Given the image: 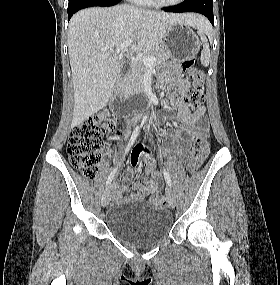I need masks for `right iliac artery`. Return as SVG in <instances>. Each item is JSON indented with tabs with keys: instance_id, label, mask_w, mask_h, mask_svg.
Here are the masks:
<instances>
[{
	"instance_id": "obj_1",
	"label": "right iliac artery",
	"mask_w": 280,
	"mask_h": 285,
	"mask_svg": "<svg viewBox=\"0 0 280 285\" xmlns=\"http://www.w3.org/2000/svg\"><path fill=\"white\" fill-rule=\"evenodd\" d=\"M138 133H139V126H137V127L134 129V131H133V133H132V135H131V137H130V139H129V143H128L126 149H125V154L128 153V151L130 150L131 146H132L133 143L135 142V140H136V138H137V136H138ZM125 154H124V156H123L122 159H124ZM122 159H121V160H122ZM119 165H120V163H119ZM117 168H118V166L115 167V168L113 169V171L110 173V175L108 176V179H107V181H106V186H108V185L111 183L112 179H113L114 176H115V173L117 172Z\"/></svg>"
}]
</instances>
